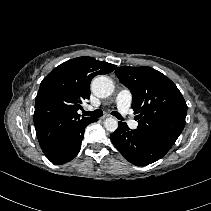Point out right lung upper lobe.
I'll list each match as a JSON object with an SVG mask.
<instances>
[{"label":"right lung upper lobe","mask_w":211,"mask_h":211,"mask_svg":"<svg viewBox=\"0 0 211 211\" xmlns=\"http://www.w3.org/2000/svg\"><path fill=\"white\" fill-rule=\"evenodd\" d=\"M115 65L84 56L68 60L53 69L41 82L35 99L34 124L42 150L92 118L80 117L78 110L90 97V82L107 74Z\"/></svg>","instance_id":"1"}]
</instances>
